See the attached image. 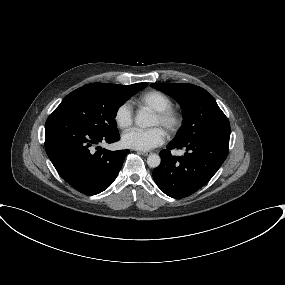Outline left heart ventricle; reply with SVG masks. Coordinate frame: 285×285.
<instances>
[{
  "label": "left heart ventricle",
  "instance_id": "1",
  "mask_svg": "<svg viewBox=\"0 0 285 285\" xmlns=\"http://www.w3.org/2000/svg\"><path fill=\"white\" fill-rule=\"evenodd\" d=\"M151 126H161L159 119L155 115L152 118Z\"/></svg>",
  "mask_w": 285,
  "mask_h": 285
}]
</instances>
